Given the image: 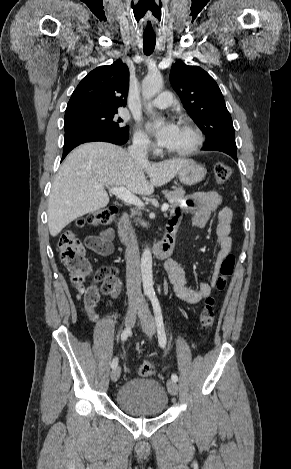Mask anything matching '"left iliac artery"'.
Wrapping results in <instances>:
<instances>
[{
    "label": "left iliac artery",
    "mask_w": 291,
    "mask_h": 469,
    "mask_svg": "<svg viewBox=\"0 0 291 469\" xmlns=\"http://www.w3.org/2000/svg\"><path fill=\"white\" fill-rule=\"evenodd\" d=\"M149 297L153 306V311H154V316H155V321H156V326H157V331H158L159 345L162 348H165L166 334H165V329H164L163 316H162L160 303L155 293H151ZM171 379L177 382L178 376L176 374H172Z\"/></svg>",
    "instance_id": "left-iliac-artery-1"
}]
</instances>
